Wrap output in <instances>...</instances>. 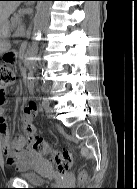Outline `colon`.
<instances>
[{
	"mask_svg": "<svg viewBox=\"0 0 137 189\" xmlns=\"http://www.w3.org/2000/svg\"><path fill=\"white\" fill-rule=\"evenodd\" d=\"M14 55L9 52L6 54V60L0 63V96L3 95V89L15 78V71L11 65ZM37 103L30 101L26 112L33 114L37 111ZM29 148L39 156H51L54 164L60 172L68 171L72 166V155L66 149H55L46 140L40 137H31Z\"/></svg>",
	"mask_w": 137,
	"mask_h": 189,
	"instance_id": "1",
	"label": "colon"
}]
</instances>
